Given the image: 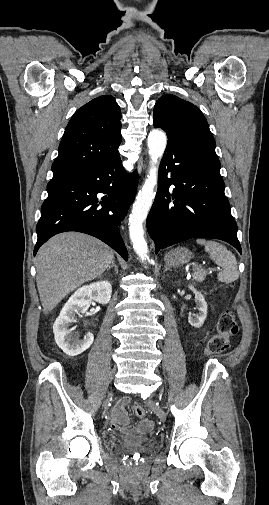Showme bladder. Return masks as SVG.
I'll list each match as a JSON object with an SVG mask.
<instances>
[{"instance_id": "31cf9c89", "label": "bladder", "mask_w": 269, "mask_h": 505, "mask_svg": "<svg viewBox=\"0 0 269 505\" xmlns=\"http://www.w3.org/2000/svg\"><path fill=\"white\" fill-rule=\"evenodd\" d=\"M151 438L147 436H141V437H122L119 440H117L118 443H123V444H130L134 446H140V445H145V444H150L151 443Z\"/></svg>"}]
</instances>
